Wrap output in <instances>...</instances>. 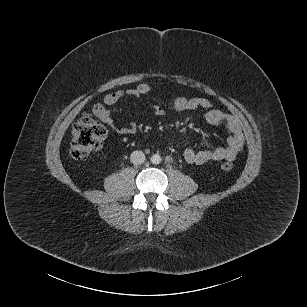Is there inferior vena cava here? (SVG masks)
Masks as SVG:
<instances>
[{"label":"inferior vena cava","mask_w":307,"mask_h":307,"mask_svg":"<svg viewBox=\"0 0 307 307\" xmlns=\"http://www.w3.org/2000/svg\"><path fill=\"white\" fill-rule=\"evenodd\" d=\"M133 164H142L145 161V154L142 151H133L130 156Z\"/></svg>","instance_id":"obj_1"}]
</instances>
